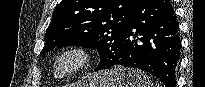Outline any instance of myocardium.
<instances>
[{
  "mask_svg": "<svg viewBox=\"0 0 205 87\" xmlns=\"http://www.w3.org/2000/svg\"><path fill=\"white\" fill-rule=\"evenodd\" d=\"M73 59V64L65 71L58 70V64L64 58ZM93 64V54L85 46L70 45L60 49L51 62V72L55 78L67 79L89 69Z\"/></svg>",
  "mask_w": 205,
  "mask_h": 87,
  "instance_id": "f54148a6",
  "label": "myocardium"
}]
</instances>
